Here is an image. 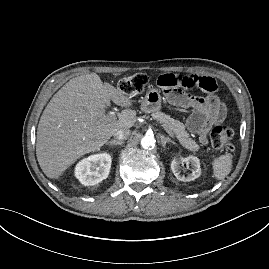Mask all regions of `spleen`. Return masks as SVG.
I'll return each mask as SVG.
<instances>
[{
	"label": "spleen",
	"mask_w": 269,
	"mask_h": 269,
	"mask_svg": "<svg viewBox=\"0 0 269 269\" xmlns=\"http://www.w3.org/2000/svg\"><path fill=\"white\" fill-rule=\"evenodd\" d=\"M233 156L229 153L219 156L213 162V176L217 180L224 179L232 169Z\"/></svg>",
	"instance_id": "3e777b00"
}]
</instances>
